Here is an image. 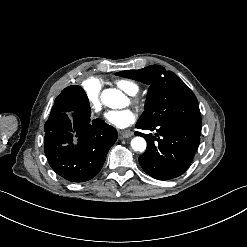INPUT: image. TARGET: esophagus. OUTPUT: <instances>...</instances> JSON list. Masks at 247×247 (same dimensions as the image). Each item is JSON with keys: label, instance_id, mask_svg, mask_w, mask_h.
Wrapping results in <instances>:
<instances>
[{"label": "esophagus", "instance_id": "esophagus-1", "mask_svg": "<svg viewBox=\"0 0 247 247\" xmlns=\"http://www.w3.org/2000/svg\"><path fill=\"white\" fill-rule=\"evenodd\" d=\"M120 133L123 138H129L134 135V133L131 130H122Z\"/></svg>", "mask_w": 247, "mask_h": 247}]
</instances>
